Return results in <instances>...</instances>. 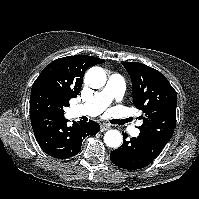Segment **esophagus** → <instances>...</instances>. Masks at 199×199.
<instances>
[{
  "mask_svg": "<svg viewBox=\"0 0 199 199\" xmlns=\"http://www.w3.org/2000/svg\"><path fill=\"white\" fill-rule=\"evenodd\" d=\"M109 128H110V125H108V124H102L100 126V131L104 132V131L108 130Z\"/></svg>",
  "mask_w": 199,
  "mask_h": 199,
  "instance_id": "obj_1",
  "label": "esophagus"
}]
</instances>
